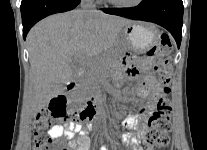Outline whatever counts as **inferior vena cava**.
Instances as JSON below:
<instances>
[{
    "label": "inferior vena cava",
    "instance_id": "inferior-vena-cava-1",
    "mask_svg": "<svg viewBox=\"0 0 207 150\" xmlns=\"http://www.w3.org/2000/svg\"><path fill=\"white\" fill-rule=\"evenodd\" d=\"M80 6L85 12H96L94 0H82Z\"/></svg>",
    "mask_w": 207,
    "mask_h": 150
}]
</instances>
